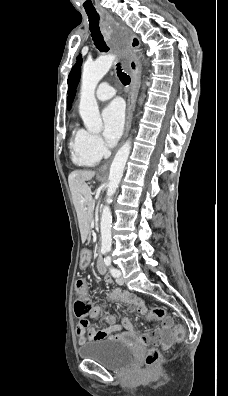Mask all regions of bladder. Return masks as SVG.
<instances>
[{
  "label": "bladder",
  "mask_w": 228,
  "mask_h": 396,
  "mask_svg": "<svg viewBox=\"0 0 228 396\" xmlns=\"http://www.w3.org/2000/svg\"><path fill=\"white\" fill-rule=\"evenodd\" d=\"M82 359L92 360L111 370H124L134 360V351L119 339L98 340L84 344L78 350Z\"/></svg>",
  "instance_id": "31cf9c89"
}]
</instances>
